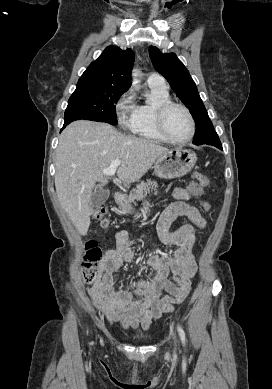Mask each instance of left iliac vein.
I'll return each instance as SVG.
<instances>
[{
	"label": "left iliac vein",
	"instance_id": "obj_1",
	"mask_svg": "<svg viewBox=\"0 0 272 389\" xmlns=\"http://www.w3.org/2000/svg\"><path fill=\"white\" fill-rule=\"evenodd\" d=\"M174 340H175V342H176V336L174 335Z\"/></svg>",
	"mask_w": 272,
	"mask_h": 389
}]
</instances>
